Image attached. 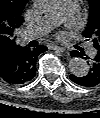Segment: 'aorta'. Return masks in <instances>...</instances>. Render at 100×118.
<instances>
[{
	"label": "aorta",
	"mask_w": 100,
	"mask_h": 118,
	"mask_svg": "<svg viewBox=\"0 0 100 118\" xmlns=\"http://www.w3.org/2000/svg\"><path fill=\"white\" fill-rule=\"evenodd\" d=\"M36 7L42 12H50L57 8L58 0H35ZM68 67L70 72L77 76L82 77L88 74L89 65L82 58H72L69 60Z\"/></svg>",
	"instance_id": "aorta-1"
}]
</instances>
